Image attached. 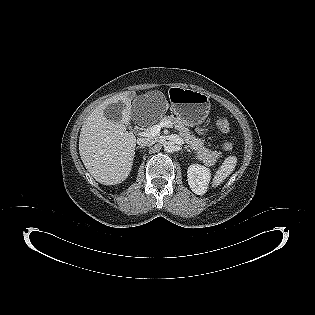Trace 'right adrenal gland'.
Instances as JSON below:
<instances>
[{"label": "right adrenal gland", "mask_w": 315, "mask_h": 315, "mask_svg": "<svg viewBox=\"0 0 315 315\" xmlns=\"http://www.w3.org/2000/svg\"><path fill=\"white\" fill-rule=\"evenodd\" d=\"M141 148H144V147H141V146L137 147V149H141Z\"/></svg>", "instance_id": "right-adrenal-gland-1"}]
</instances>
